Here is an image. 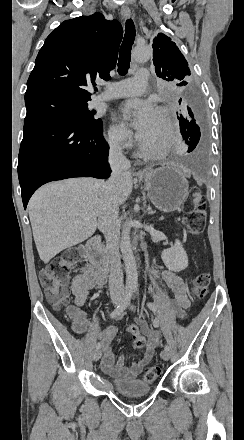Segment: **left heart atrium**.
Instances as JSON below:
<instances>
[{
  "label": "left heart atrium",
  "mask_w": 244,
  "mask_h": 440,
  "mask_svg": "<svg viewBox=\"0 0 244 440\" xmlns=\"http://www.w3.org/2000/svg\"><path fill=\"white\" fill-rule=\"evenodd\" d=\"M124 110L134 113V125L143 133L150 126L155 114V109L152 104L144 100L131 101L124 107Z\"/></svg>",
  "instance_id": "obj_1"
}]
</instances>
